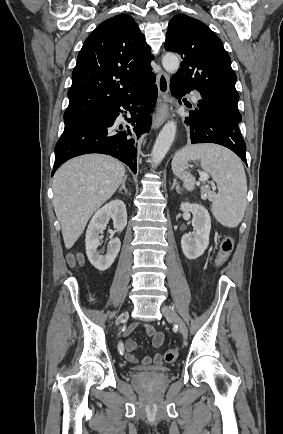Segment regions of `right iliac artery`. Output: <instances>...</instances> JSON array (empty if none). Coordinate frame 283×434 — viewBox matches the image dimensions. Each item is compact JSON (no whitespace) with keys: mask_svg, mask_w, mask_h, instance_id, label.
I'll return each instance as SVG.
<instances>
[{"mask_svg":"<svg viewBox=\"0 0 283 434\" xmlns=\"http://www.w3.org/2000/svg\"><path fill=\"white\" fill-rule=\"evenodd\" d=\"M118 350H120V345H118ZM121 353V352H120Z\"/></svg>","mask_w":283,"mask_h":434,"instance_id":"obj_1","label":"right iliac artery"}]
</instances>
